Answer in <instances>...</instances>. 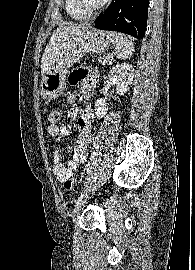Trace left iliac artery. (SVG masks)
Returning a JSON list of instances; mask_svg holds the SVG:
<instances>
[{"label": "left iliac artery", "mask_w": 195, "mask_h": 270, "mask_svg": "<svg viewBox=\"0 0 195 270\" xmlns=\"http://www.w3.org/2000/svg\"><path fill=\"white\" fill-rule=\"evenodd\" d=\"M85 197V193H82L81 195H80V197L75 201V204L76 205H78L81 201H82V199Z\"/></svg>", "instance_id": "44dca946"}]
</instances>
